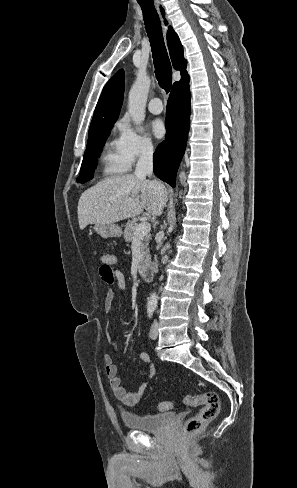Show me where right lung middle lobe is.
Wrapping results in <instances>:
<instances>
[{
    "label": "right lung middle lobe",
    "mask_w": 297,
    "mask_h": 488,
    "mask_svg": "<svg viewBox=\"0 0 297 488\" xmlns=\"http://www.w3.org/2000/svg\"><path fill=\"white\" fill-rule=\"evenodd\" d=\"M112 127L113 124L102 125L89 132L87 147L77 182L85 183L92 179L94 169L97 165V158L102 151L104 141L110 135Z\"/></svg>",
    "instance_id": "obj_1"
}]
</instances>
